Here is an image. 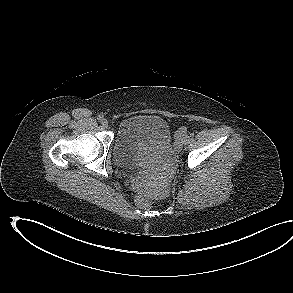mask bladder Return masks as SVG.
<instances>
[{"label":"bladder","mask_w":293,"mask_h":293,"mask_svg":"<svg viewBox=\"0 0 293 293\" xmlns=\"http://www.w3.org/2000/svg\"><path fill=\"white\" fill-rule=\"evenodd\" d=\"M172 141L170 126L157 115L136 114L119 124L113 143L116 163L126 168H140L151 164L150 149H166Z\"/></svg>","instance_id":"bladder-1"}]
</instances>
